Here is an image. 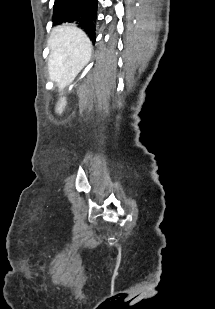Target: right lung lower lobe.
<instances>
[{
	"label": "right lung lower lobe",
	"instance_id": "1",
	"mask_svg": "<svg viewBox=\"0 0 215 309\" xmlns=\"http://www.w3.org/2000/svg\"><path fill=\"white\" fill-rule=\"evenodd\" d=\"M98 0H55L52 21L75 23L95 42Z\"/></svg>",
	"mask_w": 215,
	"mask_h": 309
}]
</instances>
